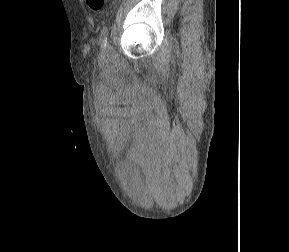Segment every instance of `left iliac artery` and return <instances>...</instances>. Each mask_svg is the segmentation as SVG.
Segmentation results:
<instances>
[{
    "label": "left iliac artery",
    "mask_w": 289,
    "mask_h": 252,
    "mask_svg": "<svg viewBox=\"0 0 289 252\" xmlns=\"http://www.w3.org/2000/svg\"><path fill=\"white\" fill-rule=\"evenodd\" d=\"M107 38H108V27H107V26H104V27L101 29L100 36H99V42H100V44H101L102 47H106V45H107Z\"/></svg>",
    "instance_id": "1"
}]
</instances>
